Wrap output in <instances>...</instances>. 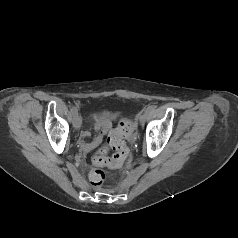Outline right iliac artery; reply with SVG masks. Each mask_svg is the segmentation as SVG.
<instances>
[{
  "label": "right iliac artery",
  "instance_id": "82829eb1",
  "mask_svg": "<svg viewBox=\"0 0 238 238\" xmlns=\"http://www.w3.org/2000/svg\"><path fill=\"white\" fill-rule=\"evenodd\" d=\"M71 113H72L73 115H77V114H78V109L73 106V107L71 108Z\"/></svg>",
  "mask_w": 238,
  "mask_h": 238
}]
</instances>
